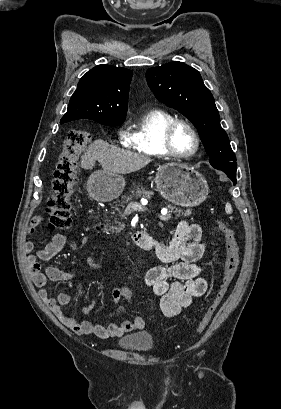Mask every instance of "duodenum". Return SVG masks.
Listing matches in <instances>:
<instances>
[{
	"instance_id": "410a0bca",
	"label": "duodenum",
	"mask_w": 281,
	"mask_h": 409,
	"mask_svg": "<svg viewBox=\"0 0 281 409\" xmlns=\"http://www.w3.org/2000/svg\"><path fill=\"white\" fill-rule=\"evenodd\" d=\"M99 223L101 224V222ZM132 240L135 245H137L143 250H150L151 248V245H150L151 237L146 234H143L140 232L134 233L132 235Z\"/></svg>"
}]
</instances>
